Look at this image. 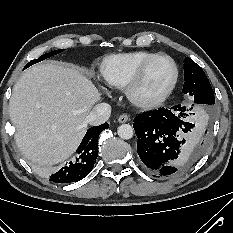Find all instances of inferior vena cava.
I'll return each instance as SVG.
<instances>
[{
	"instance_id": "obj_1",
	"label": "inferior vena cava",
	"mask_w": 233,
	"mask_h": 233,
	"mask_svg": "<svg viewBox=\"0 0 233 233\" xmlns=\"http://www.w3.org/2000/svg\"><path fill=\"white\" fill-rule=\"evenodd\" d=\"M111 106L107 103H99L87 116V122L91 125H100L105 123L110 116Z\"/></svg>"
}]
</instances>
